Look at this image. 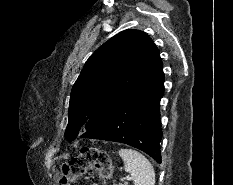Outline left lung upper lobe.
I'll return each instance as SVG.
<instances>
[{
	"instance_id": "5c2ea615",
	"label": "left lung upper lobe",
	"mask_w": 233,
	"mask_h": 185,
	"mask_svg": "<svg viewBox=\"0 0 233 185\" xmlns=\"http://www.w3.org/2000/svg\"><path fill=\"white\" fill-rule=\"evenodd\" d=\"M160 61L159 50L142 31L124 30L105 42L89 57L72 88L65 137L71 141L81 129L98 126L121 96Z\"/></svg>"
}]
</instances>
